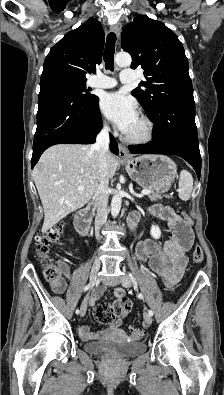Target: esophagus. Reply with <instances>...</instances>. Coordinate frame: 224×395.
<instances>
[{
    "mask_svg": "<svg viewBox=\"0 0 224 395\" xmlns=\"http://www.w3.org/2000/svg\"><path fill=\"white\" fill-rule=\"evenodd\" d=\"M110 30H111V32L115 33L117 37H119L120 32H121V23L117 22V23L113 24L111 26ZM118 148H119V157L121 159H129L130 158V156L126 150V147L123 144L119 143Z\"/></svg>",
    "mask_w": 224,
    "mask_h": 395,
    "instance_id": "34e87169",
    "label": "esophagus"
}]
</instances>
